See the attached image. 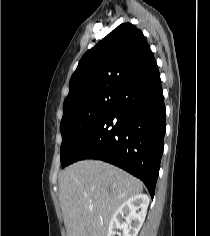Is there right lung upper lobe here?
<instances>
[{
  "mask_svg": "<svg viewBox=\"0 0 210 236\" xmlns=\"http://www.w3.org/2000/svg\"><path fill=\"white\" fill-rule=\"evenodd\" d=\"M155 68L156 60L143 33L131 23L121 24L81 58L63 112L90 97L118 93Z\"/></svg>",
  "mask_w": 210,
  "mask_h": 236,
  "instance_id": "1",
  "label": "right lung upper lobe"
}]
</instances>
